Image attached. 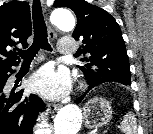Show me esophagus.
<instances>
[{"mask_svg": "<svg viewBox=\"0 0 153 134\" xmlns=\"http://www.w3.org/2000/svg\"><path fill=\"white\" fill-rule=\"evenodd\" d=\"M40 1H41L42 6L45 9V0H40ZM49 37L51 40H53L55 38V33L50 26H49ZM59 108H60V106L57 104H50V103L47 104V111L49 113H54V112L58 111Z\"/></svg>", "mask_w": 153, "mask_h": 134, "instance_id": "34e87169", "label": "esophagus"}]
</instances>
